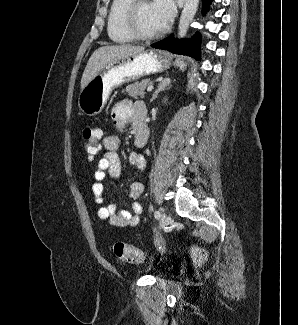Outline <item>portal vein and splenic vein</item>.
<instances>
[{
    "label": "portal vein and splenic vein",
    "instance_id": "obj_1",
    "mask_svg": "<svg viewBox=\"0 0 298 325\" xmlns=\"http://www.w3.org/2000/svg\"><path fill=\"white\" fill-rule=\"evenodd\" d=\"M153 88H154V84H148L146 90L147 92H150V90H153Z\"/></svg>",
    "mask_w": 298,
    "mask_h": 325
}]
</instances>
